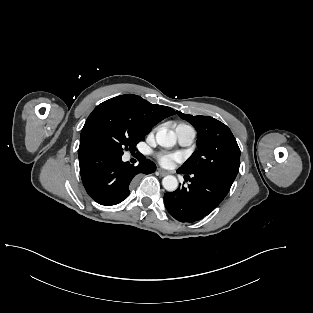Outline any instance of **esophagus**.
Returning <instances> with one entry per match:
<instances>
[{
    "mask_svg": "<svg viewBox=\"0 0 313 313\" xmlns=\"http://www.w3.org/2000/svg\"><path fill=\"white\" fill-rule=\"evenodd\" d=\"M157 173L160 175V176H165L168 174L167 171L163 170V169H157Z\"/></svg>",
    "mask_w": 313,
    "mask_h": 313,
    "instance_id": "1",
    "label": "esophagus"
}]
</instances>
